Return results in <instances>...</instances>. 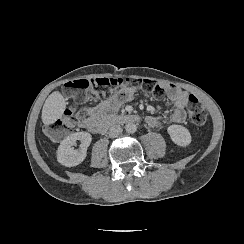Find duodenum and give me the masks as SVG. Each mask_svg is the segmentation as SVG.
I'll list each match as a JSON object with an SVG mask.
<instances>
[{"label":"duodenum","instance_id":"410a0bca","mask_svg":"<svg viewBox=\"0 0 244 244\" xmlns=\"http://www.w3.org/2000/svg\"><path fill=\"white\" fill-rule=\"evenodd\" d=\"M139 121L140 116L138 114L108 115L103 118L102 123L96 129V133L100 135L106 132V130L112 126L125 123H135Z\"/></svg>","mask_w":244,"mask_h":244}]
</instances>
